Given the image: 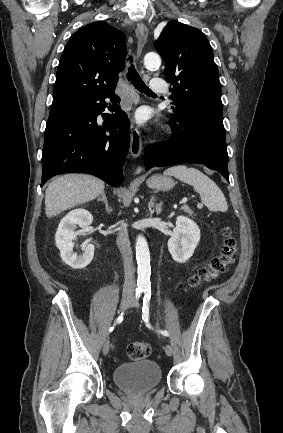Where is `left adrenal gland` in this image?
<instances>
[{"label": "left adrenal gland", "mask_w": 283, "mask_h": 433, "mask_svg": "<svg viewBox=\"0 0 283 433\" xmlns=\"http://www.w3.org/2000/svg\"><path fill=\"white\" fill-rule=\"evenodd\" d=\"M153 206H155L156 214H160V212L162 210V204H161V202H158V204H155V202L153 200V196H152V198H150V202H149V210H152ZM153 210H154V208H153Z\"/></svg>", "instance_id": "obj_1"}]
</instances>
